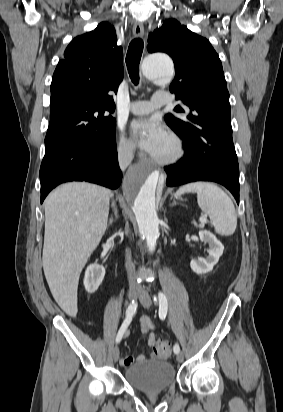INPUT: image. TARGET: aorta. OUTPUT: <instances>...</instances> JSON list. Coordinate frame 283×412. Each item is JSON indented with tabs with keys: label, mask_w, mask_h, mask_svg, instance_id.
I'll list each match as a JSON object with an SVG mask.
<instances>
[{
	"label": "aorta",
	"mask_w": 283,
	"mask_h": 412,
	"mask_svg": "<svg viewBox=\"0 0 283 412\" xmlns=\"http://www.w3.org/2000/svg\"><path fill=\"white\" fill-rule=\"evenodd\" d=\"M143 75L155 83L168 82L174 74L172 60L165 54L148 56L142 65ZM160 180L157 170L137 169L130 172L123 184L124 194L133 202L139 233L153 252L159 238L156 215V189Z\"/></svg>",
	"instance_id": "1"
}]
</instances>
